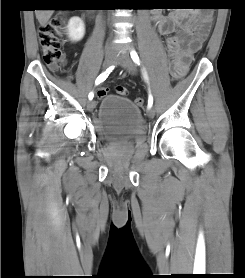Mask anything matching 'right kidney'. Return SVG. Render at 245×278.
I'll return each instance as SVG.
<instances>
[{
    "instance_id": "obj_1",
    "label": "right kidney",
    "mask_w": 245,
    "mask_h": 278,
    "mask_svg": "<svg viewBox=\"0 0 245 278\" xmlns=\"http://www.w3.org/2000/svg\"><path fill=\"white\" fill-rule=\"evenodd\" d=\"M68 36L72 41H80L85 34V26L81 18L72 17L68 22Z\"/></svg>"
}]
</instances>
